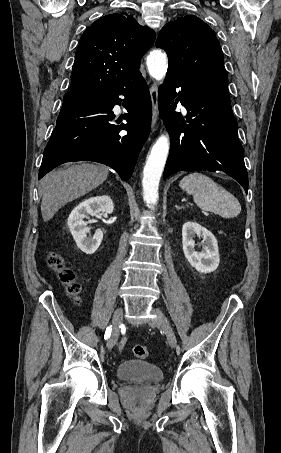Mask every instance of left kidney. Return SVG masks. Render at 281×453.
<instances>
[{"label":"left kidney","instance_id":"obj_1","mask_svg":"<svg viewBox=\"0 0 281 453\" xmlns=\"http://www.w3.org/2000/svg\"><path fill=\"white\" fill-rule=\"evenodd\" d=\"M198 235V237H202L203 245H205L203 251L198 253L195 251V243L193 237ZM182 245H183V253L188 259L190 265L199 271V273H212L217 269L220 259L218 253V243L210 233L207 231L205 227H201V224L198 222H184L183 229H182Z\"/></svg>","mask_w":281,"mask_h":453}]
</instances>
